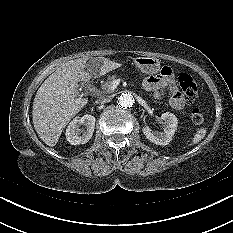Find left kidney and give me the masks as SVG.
<instances>
[{
    "instance_id": "obj_1",
    "label": "left kidney",
    "mask_w": 233,
    "mask_h": 233,
    "mask_svg": "<svg viewBox=\"0 0 233 233\" xmlns=\"http://www.w3.org/2000/svg\"><path fill=\"white\" fill-rule=\"evenodd\" d=\"M161 121L163 122L165 128L164 132L152 133L148 126L143 127V134L146 138L156 145H168L172 140L175 133L178 120L177 117L169 112L162 114Z\"/></svg>"
}]
</instances>
